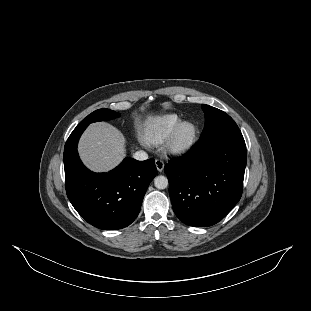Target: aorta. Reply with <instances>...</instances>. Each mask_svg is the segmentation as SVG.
<instances>
[{"label": "aorta", "mask_w": 311, "mask_h": 311, "mask_svg": "<svg viewBox=\"0 0 311 311\" xmlns=\"http://www.w3.org/2000/svg\"><path fill=\"white\" fill-rule=\"evenodd\" d=\"M168 184H169V182H168V178L166 176L159 175V176H156L154 178V186L157 189H165V188H167Z\"/></svg>", "instance_id": "1"}]
</instances>
